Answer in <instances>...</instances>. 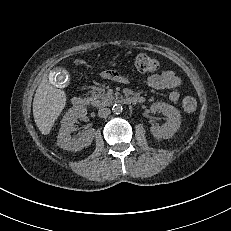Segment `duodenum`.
<instances>
[{
    "label": "duodenum",
    "mask_w": 231,
    "mask_h": 231,
    "mask_svg": "<svg viewBox=\"0 0 231 231\" xmlns=\"http://www.w3.org/2000/svg\"><path fill=\"white\" fill-rule=\"evenodd\" d=\"M144 100L139 96H129L121 99V102L128 105L139 104ZM87 101L82 96H75L72 98V104L76 108H83L86 105Z\"/></svg>",
    "instance_id": "obj_1"
}]
</instances>
